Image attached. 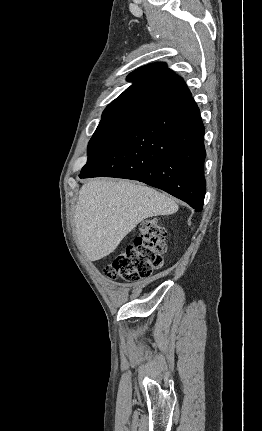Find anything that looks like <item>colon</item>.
Masks as SVG:
<instances>
[{
	"label": "colon",
	"mask_w": 262,
	"mask_h": 431,
	"mask_svg": "<svg viewBox=\"0 0 262 431\" xmlns=\"http://www.w3.org/2000/svg\"><path fill=\"white\" fill-rule=\"evenodd\" d=\"M165 250V229L158 220H148L133 244L117 254L105 271L111 278L126 282L146 279L162 267Z\"/></svg>",
	"instance_id": "5ec220e1"
}]
</instances>
